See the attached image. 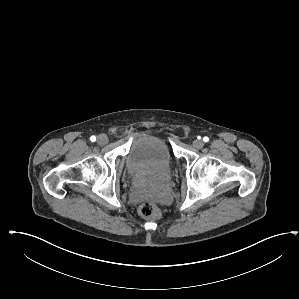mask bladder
Wrapping results in <instances>:
<instances>
[{
    "mask_svg": "<svg viewBox=\"0 0 299 299\" xmlns=\"http://www.w3.org/2000/svg\"><path fill=\"white\" fill-rule=\"evenodd\" d=\"M173 154L166 141L153 134L135 138L126 158V171L130 176H150L155 179L172 166Z\"/></svg>",
    "mask_w": 299,
    "mask_h": 299,
    "instance_id": "bladder-1",
    "label": "bladder"
}]
</instances>
